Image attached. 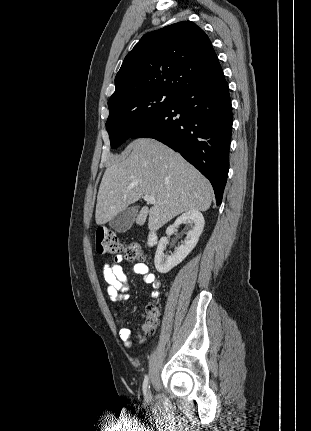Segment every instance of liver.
<instances>
[{
  "label": "liver",
  "instance_id": "1",
  "mask_svg": "<svg viewBox=\"0 0 311 431\" xmlns=\"http://www.w3.org/2000/svg\"><path fill=\"white\" fill-rule=\"evenodd\" d=\"M143 196H152L160 204L143 206L135 221L144 225L148 217L150 231H157L182 212L209 210L213 190L180 154L156 140L139 138L104 172L97 194V225H104Z\"/></svg>",
  "mask_w": 311,
  "mask_h": 431
}]
</instances>
